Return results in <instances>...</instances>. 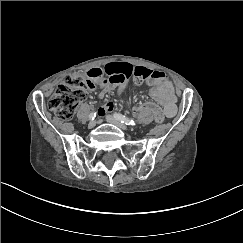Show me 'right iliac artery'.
<instances>
[{
	"label": "right iliac artery",
	"instance_id": "82829eb1",
	"mask_svg": "<svg viewBox=\"0 0 243 243\" xmlns=\"http://www.w3.org/2000/svg\"><path fill=\"white\" fill-rule=\"evenodd\" d=\"M95 117H96V112H92V113L89 114V119L90 120H94Z\"/></svg>",
	"mask_w": 243,
	"mask_h": 243
}]
</instances>
